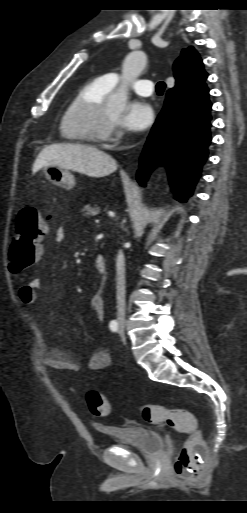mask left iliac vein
<instances>
[{
	"label": "left iliac vein",
	"instance_id": "1",
	"mask_svg": "<svg viewBox=\"0 0 247 513\" xmlns=\"http://www.w3.org/2000/svg\"><path fill=\"white\" fill-rule=\"evenodd\" d=\"M120 334H121V337L123 339V341L125 340V336H124V330L121 328L120 329Z\"/></svg>",
	"mask_w": 247,
	"mask_h": 513
}]
</instances>
